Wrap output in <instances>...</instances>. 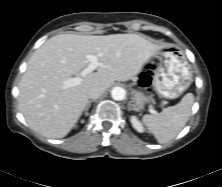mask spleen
<instances>
[{"instance_id": "spleen-1", "label": "spleen", "mask_w": 222, "mask_h": 187, "mask_svg": "<svg viewBox=\"0 0 222 187\" xmlns=\"http://www.w3.org/2000/svg\"><path fill=\"white\" fill-rule=\"evenodd\" d=\"M193 103V94L187 93L178 104L167 107L156 115H144L143 122L158 143H167L174 139L187 123Z\"/></svg>"}]
</instances>
